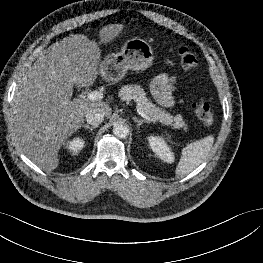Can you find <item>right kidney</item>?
Masks as SVG:
<instances>
[{
  "instance_id": "obj_1",
  "label": "right kidney",
  "mask_w": 263,
  "mask_h": 263,
  "mask_svg": "<svg viewBox=\"0 0 263 263\" xmlns=\"http://www.w3.org/2000/svg\"><path fill=\"white\" fill-rule=\"evenodd\" d=\"M84 144L85 141L77 137L67 143V148L73 155H76L83 149Z\"/></svg>"
}]
</instances>
